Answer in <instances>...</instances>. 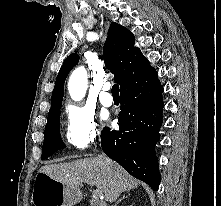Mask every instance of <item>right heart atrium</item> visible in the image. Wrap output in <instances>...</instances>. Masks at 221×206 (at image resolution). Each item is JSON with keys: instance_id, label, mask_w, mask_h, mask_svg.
<instances>
[{"instance_id": "right-heart-atrium-1", "label": "right heart atrium", "mask_w": 221, "mask_h": 206, "mask_svg": "<svg viewBox=\"0 0 221 206\" xmlns=\"http://www.w3.org/2000/svg\"><path fill=\"white\" fill-rule=\"evenodd\" d=\"M66 114V138L76 149H84L98 138L94 114L88 108L79 104H68Z\"/></svg>"}]
</instances>
